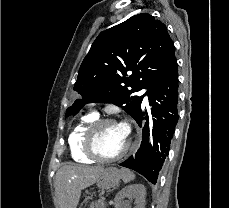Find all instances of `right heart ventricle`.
<instances>
[{"instance_id": "obj_1", "label": "right heart ventricle", "mask_w": 229, "mask_h": 208, "mask_svg": "<svg viewBox=\"0 0 229 208\" xmlns=\"http://www.w3.org/2000/svg\"><path fill=\"white\" fill-rule=\"evenodd\" d=\"M98 118L96 112H90L83 116L79 122L73 127L68 137V146L71 159L75 163L90 164L96 161L95 158H86V153H82L81 149L84 148L85 136L88 127L93 121Z\"/></svg>"}]
</instances>
